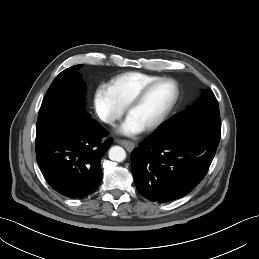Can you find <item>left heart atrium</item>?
I'll return each instance as SVG.
<instances>
[{
    "mask_svg": "<svg viewBox=\"0 0 259 259\" xmlns=\"http://www.w3.org/2000/svg\"><path fill=\"white\" fill-rule=\"evenodd\" d=\"M144 128L128 115L125 121L119 126L118 132L127 136H133L141 133Z\"/></svg>",
    "mask_w": 259,
    "mask_h": 259,
    "instance_id": "left-heart-atrium-1",
    "label": "left heart atrium"
}]
</instances>
